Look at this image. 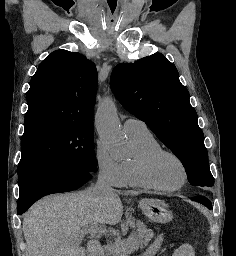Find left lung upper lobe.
I'll list each match as a JSON object with an SVG mask.
<instances>
[{
    "label": "left lung upper lobe",
    "mask_w": 236,
    "mask_h": 256,
    "mask_svg": "<svg viewBox=\"0 0 236 256\" xmlns=\"http://www.w3.org/2000/svg\"><path fill=\"white\" fill-rule=\"evenodd\" d=\"M110 85L124 108L180 159L191 185H214L197 113L174 64L159 54L122 63L114 68Z\"/></svg>",
    "instance_id": "obj_1"
}]
</instances>
